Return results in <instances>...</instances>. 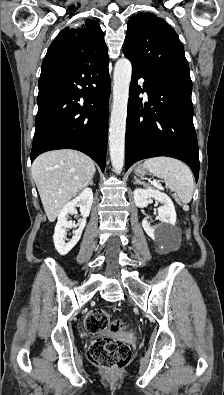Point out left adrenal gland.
Wrapping results in <instances>:
<instances>
[{
  "instance_id": "1",
  "label": "left adrenal gland",
  "mask_w": 224,
  "mask_h": 395,
  "mask_svg": "<svg viewBox=\"0 0 224 395\" xmlns=\"http://www.w3.org/2000/svg\"><path fill=\"white\" fill-rule=\"evenodd\" d=\"M134 180H135V181H134V184L140 183V184L146 185V183L140 181L136 176H134Z\"/></svg>"
}]
</instances>
